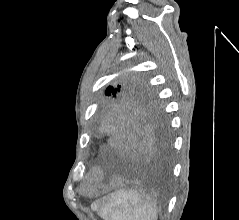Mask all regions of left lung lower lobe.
Segmentation results:
<instances>
[{
  "label": "left lung lower lobe",
  "instance_id": "1",
  "mask_svg": "<svg viewBox=\"0 0 239 220\" xmlns=\"http://www.w3.org/2000/svg\"><path fill=\"white\" fill-rule=\"evenodd\" d=\"M159 112L115 106L102 112L97 127L103 136L105 163L123 166L141 161L164 162L169 141Z\"/></svg>",
  "mask_w": 239,
  "mask_h": 220
}]
</instances>
